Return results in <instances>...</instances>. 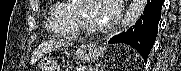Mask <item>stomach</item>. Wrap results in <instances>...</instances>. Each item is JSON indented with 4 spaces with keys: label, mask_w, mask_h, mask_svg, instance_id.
<instances>
[{
    "label": "stomach",
    "mask_w": 181,
    "mask_h": 71,
    "mask_svg": "<svg viewBox=\"0 0 181 71\" xmlns=\"http://www.w3.org/2000/svg\"><path fill=\"white\" fill-rule=\"evenodd\" d=\"M104 52L105 48L103 47H96L91 44H84L78 47L75 55L76 58L82 61L93 62L101 58L104 55ZM55 69L56 68L48 61L42 62L39 66L40 71H56Z\"/></svg>",
    "instance_id": "obj_1"
}]
</instances>
